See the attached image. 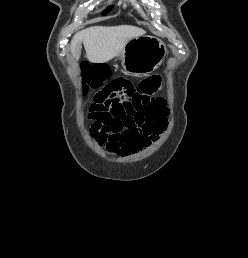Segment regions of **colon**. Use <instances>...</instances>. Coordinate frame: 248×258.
Segmentation results:
<instances>
[{"label": "colon", "instance_id": "obj_1", "mask_svg": "<svg viewBox=\"0 0 248 258\" xmlns=\"http://www.w3.org/2000/svg\"><path fill=\"white\" fill-rule=\"evenodd\" d=\"M83 72L87 85L91 87H99L105 81L103 67L99 64L85 63ZM89 116L92 120V131L98 129L103 133L123 128L129 119V113H122L114 98L99 94H96L94 102L90 105Z\"/></svg>", "mask_w": 248, "mask_h": 258}]
</instances>
